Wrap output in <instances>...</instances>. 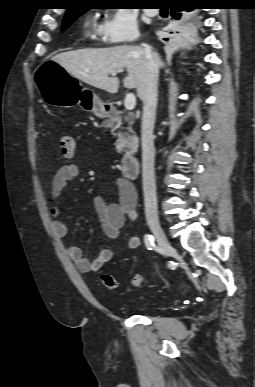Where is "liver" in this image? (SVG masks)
Segmentation results:
<instances>
[{
  "instance_id": "liver-1",
  "label": "liver",
  "mask_w": 255,
  "mask_h": 387,
  "mask_svg": "<svg viewBox=\"0 0 255 387\" xmlns=\"http://www.w3.org/2000/svg\"><path fill=\"white\" fill-rule=\"evenodd\" d=\"M158 70L163 66L157 53H153ZM52 60L69 74L95 88L111 94L118 92L119 79L110 76L127 70L124 87L141 89L145 79V52L142 47L121 45L97 49H79L55 55Z\"/></svg>"
}]
</instances>
